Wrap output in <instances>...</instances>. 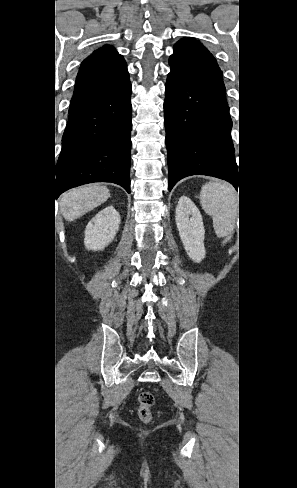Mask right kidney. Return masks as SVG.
I'll return each instance as SVG.
<instances>
[{
  "label": "right kidney",
  "instance_id": "ca27d5eb",
  "mask_svg": "<svg viewBox=\"0 0 297 488\" xmlns=\"http://www.w3.org/2000/svg\"><path fill=\"white\" fill-rule=\"evenodd\" d=\"M120 225V215L113 206L98 212L87 224L84 244L88 250H104L115 238Z\"/></svg>",
  "mask_w": 297,
  "mask_h": 488
}]
</instances>
